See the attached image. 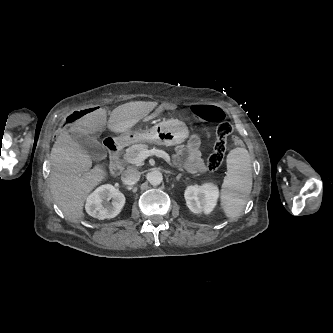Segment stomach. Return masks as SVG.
<instances>
[{"label":"stomach","mask_w":333,"mask_h":333,"mask_svg":"<svg viewBox=\"0 0 333 333\" xmlns=\"http://www.w3.org/2000/svg\"><path fill=\"white\" fill-rule=\"evenodd\" d=\"M188 137L189 130L184 123L167 119L155 124L149 129L126 132L115 137L114 141L124 145L136 142H151L170 146L180 144Z\"/></svg>","instance_id":"obj_1"}]
</instances>
